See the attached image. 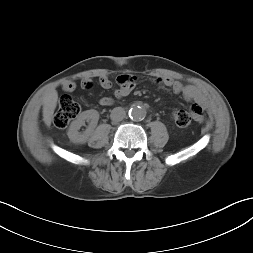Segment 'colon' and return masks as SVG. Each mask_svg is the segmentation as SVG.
Segmentation results:
<instances>
[{
    "instance_id": "obj_1",
    "label": "colon",
    "mask_w": 253,
    "mask_h": 253,
    "mask_svg": "<svg viewBox=\"0 0 253 253\" xmlns=\"http://www.w3.org/2000/svg\"><path fill=\"white\" fill-rule=\"evenodd\" d=\"M80 113L79 104L70 96L60 98L58 109L54 115L53 123L57 128H65ZM171 119L179 127H187L192 122V116L184 109L175 108L171 112Z\"/></svg>"
}]
</instances>
